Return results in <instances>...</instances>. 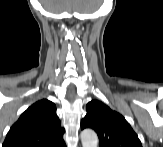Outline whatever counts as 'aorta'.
Listing matches in <instances>:
<instances>
[{"label":"aorta","mask_w":163,"mask_h":147,"mask_svg":"<svg viewBox=\"0 0 163 147\" xmlns=\"http://www.w3.org/2000/svg\"><path fill=\"white\" fill-rule=\"evenodd\" d=\"M81 141L83 147H97V134L91 129H85L81 132Z\"/></svg>","instance_id":"aorta-1"}]
</instances>
